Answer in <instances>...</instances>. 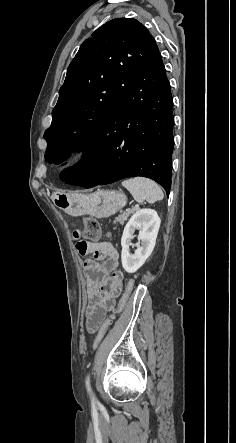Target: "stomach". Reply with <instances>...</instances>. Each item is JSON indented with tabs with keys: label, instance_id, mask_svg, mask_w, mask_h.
Returning <instances> with one entry per match:
<instances>
[{
	"label": "stomach",
	"instance_id": "1",
	"mask_svg": "<svg viewBox=\"0 0 236 443\" xmlns=\"http://www.w3.org/2000/svg\"><path fill=\"white\" fill-rule=\"evenodd\" d=\"M126 202L125 194L117 190L99 189L90 194L58 193L54 197V204L68 214H90L98 218L114 215Z\"/></svg>",
	"mask_w": 236,
	"mask_h": 443
}]
</instances>
